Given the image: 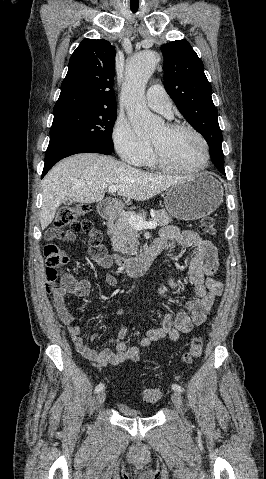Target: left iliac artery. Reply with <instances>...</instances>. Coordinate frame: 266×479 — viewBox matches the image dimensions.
<instances>
[{
  "mask_svg": "<svg viewBox=\"0 0 266 479\" xmlns=\"http://www.w3.org/2000/svg\"><path fill=\"white\" fill-rule=\"evenodd\" d=\"M172 389L174 391L179 392V393L184 392V388L182 386L178 385V384H172Z\"/></svg>",
  "mask_w": 266,
  "mask_h": 479,
  "instance_id": "1",
  "label": "left iliac artery"
}]
</instances>
